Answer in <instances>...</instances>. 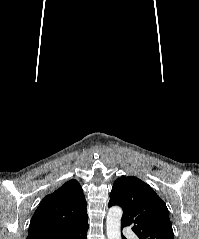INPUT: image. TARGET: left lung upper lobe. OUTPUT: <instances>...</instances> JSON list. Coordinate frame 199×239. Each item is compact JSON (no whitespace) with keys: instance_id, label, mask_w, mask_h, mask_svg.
Wrapping results in <instances>:
<instances>
[{"instance_id":"1","label":"left lung upper lobe","mask_w":199,"mask_h":239,"mask_svg":"<svg viewBox=\"0 0 199 239\" xmlns=\"http://www.w3.org/2000/svg\"><path fill=\"white\" fill-rule=\"evenodd\" d=\"M123 209L121 227L132 226L139 239H174L166 204L139 178L121 176L112 187L109 207Z\"/></svg>"}]
</instances>
